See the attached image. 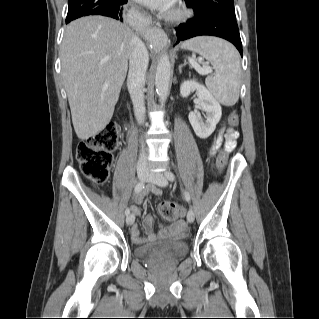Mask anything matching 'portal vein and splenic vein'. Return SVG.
<instances>
[{
  "label": "portal vein and splenic vein",
  "instance_id": "18ae733b",
  "mask_svg": "<svg viewBox=\"0 0 319 319\" xmlns=\"http://www.w3.org/2000/svg\"><path fill=\"white\" fill-rule=\"evenodd\" d=\"M188 60L191 62V64L193 65V67L196 69L198 73L205 75L212 72L210 68H201L194 58L189 57ZM105 61L106 59H104L102 62H105Z\"/></svg>",
  "mask_w": 319,
  "mask_h": 319
}]
</instances>
